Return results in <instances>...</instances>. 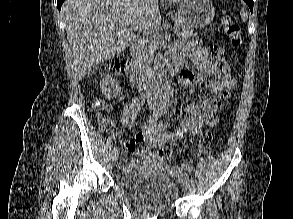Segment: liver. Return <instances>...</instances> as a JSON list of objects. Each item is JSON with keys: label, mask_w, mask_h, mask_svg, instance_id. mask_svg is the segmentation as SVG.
<instances>
[{"label": "liver", "mask_w": 293, "mask_h": 219, "mask_svg": "<svg viewBox=\"0 0 293 219\" xmlns=\"http://www.w3.org/2000/svg\"><path fill=\"white\" fill-rule=\"evenodd\" d=\"M159 0H66L62 14L80 79L160 24ZM177 3L182 0H165Z\"/></svg>", "instance_id": "1"}]
</instances>
